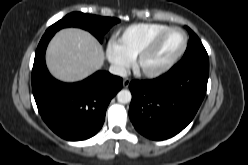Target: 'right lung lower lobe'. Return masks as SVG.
<instances>
[{
    "label": "right lung lower lobe",
    "instance_id": "right-lung-lower-lobe-1",
    "mask_svg": "<svg viewBox=\"0 0 248 165\" xmlns=\"http://www.w3.org/2000/svg\"><path fill=\"white\" fill-rule=\"evenodd\" d=\"M55 33L44 34L35 53L32 90L45 123L69 141L85 140L102 127L111 99L122 88V78L98 71L67 84L54 79L45 64L46 47Z\"/></svg>",
    "mask_w": 248,
    "mask_h": 165
}]
</instances>
